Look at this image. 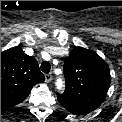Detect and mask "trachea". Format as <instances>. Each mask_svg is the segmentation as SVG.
Instances as JSON below:
<instances>
[{
    "label": "trachea",
    "instance_id": "1",
    "mask_svg": "<svg viewBox=\"0 0 122 122\" xmlns=\"http://www.w3.org/2000/svg\"><path fill=\"white\" fill-rule=\"evenodd\" d=\"M50 69H51V65H50L49 62L44 61V62L41 63V70H42V72L47 74V73L50 72Z\"/></svg>",
    "mask_w": 122,
    "mask_h": 122
}]
</instances>
